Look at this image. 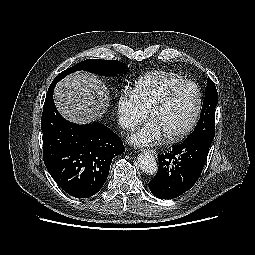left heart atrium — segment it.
Masks as SVG:
<instances>
[{
    "label": "left heart atrium",
    "instance_id": "obj_1",
    "mask_svg": "<svg viewBox=\"0 0 255 255\" xmlns=\"http://www.w3.org/2000/svg\"><path fill=\"white\" fill-rule=\"evenodd\" d=\"M163 136L160 127L150 119L141 128L132 132L129 135L128 140L135 146H148L156 144Z\"/></svg>",
    "mask_w": 255,
    "mask_h": 255
}]
</instances>
